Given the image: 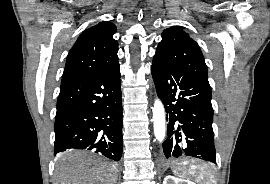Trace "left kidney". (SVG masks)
Here are the masks:
<instances>
[{
	"mask_svg": "<svg viewBox=\"0 0 270 184\" xmlns=\"http://www.w3.org/2000/svg\"><path fill=\"white\" fill-rule=\"evenodd\" d=\"M163 184H195L192 181L179 179L174 176L168 175L164 178Z\"/></svg>",
	"mask_w": 270,
	"mask_h": 184,
	"instance_id": "1",
	"label": "left kidney"
}]
</instances>
